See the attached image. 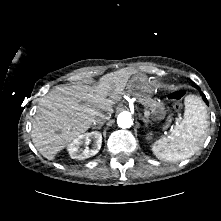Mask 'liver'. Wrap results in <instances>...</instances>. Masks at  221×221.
<instances>
[{"mask_svg":"<svg viewBox=\"0 0 221 221\" xmlns=\"http://www.w3.org/2000/svg\"><path fill=\"white\" fill-rule=\"evenodd\" d=\"M130 77L122 69L100 78L99 84L56 86L40 99L31 137L39 153L54 160L58 152L85 133L99 113H113V99ZM110 96V98H107Z\"/></svg>","mask_w":221,"mask_h":221,"instance_id":"liver-1","label":"liver"}]
</instances>
